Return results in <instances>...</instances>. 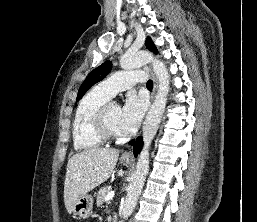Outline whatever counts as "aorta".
<instances>
[{"label": "aorta", "instance_id": "obj_1", "mask_svg": "<svg viewBox=\"0 0 257 222\" xmlns=\"http://www.w3.org/2000/svg\"><path fill=\"white\" fill-rule=\"evenodd\" d=\"M151 62L158 79L159 88L143 125L144 146L139 154L136 170L132 176L127 196L122 207L123 219L128 218L136 206L149 169V147L159 128L169 93L170 76L165 64L146 51H127L120 60L123 69H135Z\"/></svg>", "mask_w": 257, "mask_h": 222}]
</instances>
